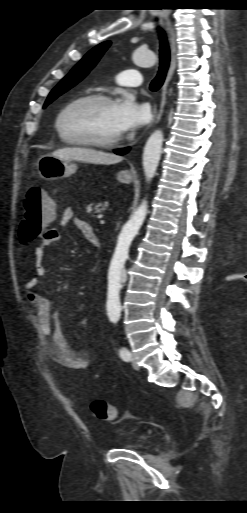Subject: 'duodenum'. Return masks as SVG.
<instances>
[{
    "label": "duodenum",
    "instance_id": "obj_1",
    "mask_svg": "<svg viewBox=\"0 0 247 513\" xmlns=\"http://www.w3.org/2000/svg\"><path fill=\"white\" fill-rule=\"evenodd\" d=\"M89 242H91L94 246L100 247V240L96 236L95 233H91L87 236Z\"/></svg>",
    "mask_w": 247,
    "mask_h": 513
}]
</instances>
